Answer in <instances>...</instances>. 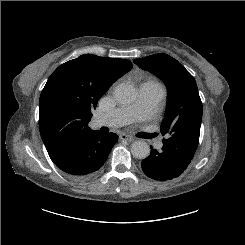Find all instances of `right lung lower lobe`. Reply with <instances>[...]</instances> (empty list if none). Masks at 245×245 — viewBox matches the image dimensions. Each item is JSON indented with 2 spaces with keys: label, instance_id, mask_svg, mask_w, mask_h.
Instances as JSON below:
<instances>
[{
  "label": "right lung lower lobe",
  "instance_id": "right-lung-lower-lobe-1",
  "mask_svg": "<svg viewBox=\"0 0 245 245\" xmlns=\"http://www.w3.org/2000/svg\"><path fill=\"white\" fill-rule=\"evenodd\" d=\"M118 137L111 133L93 131L77 141L54 163L71 177L88 179L105 163Z\"/></svg>",
  "mask_w": 245,
  "mask_h": 245
}]
</instances>
